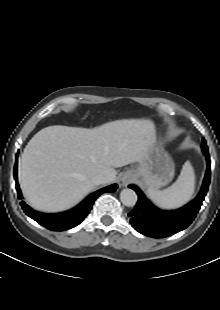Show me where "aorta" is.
Segmentation results:
<instances>
[{
    "label": "aorta",
    "mask_w": 220,
    "mask_h": 310,
    "mask_svg": "<svg viewBox=\"0 0 220 310\" xmlns=\"http://www.w3.org/2000/svg\"><path fill=\"white\" fill-rule=\"evenodd\" d=\"M120 200L123 203V205L127 207H132L137 202V194L132 189L129 188L123 189L120 193Z\"/></svg>",
    "instance_id": "1"
}]
</instances>
